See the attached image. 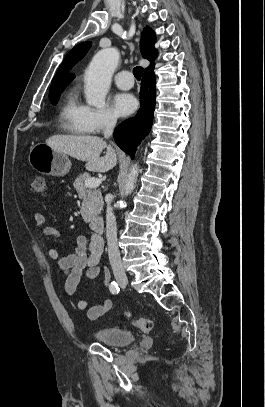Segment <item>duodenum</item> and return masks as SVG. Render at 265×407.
<instances>
[{"label": "duodenum", "instance_id": "1", "mask_svg": "<svg viewBox=\"0 0 265 407\" xmlns=\"http://www.w3.org/2000/svg\"><path fill=\"white\" fill-rule=\"evenodd\" d=\"M90 227L96 233L102 234L104 232V221L100 217L93 218L90 221Z\"/></svg>", "mask_w": 265, "mask_h": 407}]
</instances>
